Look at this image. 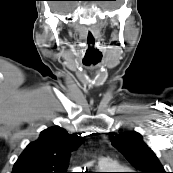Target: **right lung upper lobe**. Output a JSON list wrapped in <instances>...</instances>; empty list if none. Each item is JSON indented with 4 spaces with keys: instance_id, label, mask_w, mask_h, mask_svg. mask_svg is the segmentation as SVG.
Returning <instances> with one entry per match:
<instances>
[{
    "instance_id": "obj_1",
    "label": "right lung upper lobe",
    "mask_w": 173,
    "mask_h": 173,
    "mask_svg": "<svg viewBox=\"0 0 173 173\" xmlns=\"http://www.w3.org/2000/svg\"><path fill=\"white\" fill-rule=\"evenodd\" d=\"M81 143V137L63 128L45 129L37 141L27 145L12 173H67L70 153Z\"/></svg>"
}]
</instances>
